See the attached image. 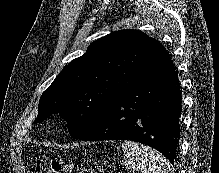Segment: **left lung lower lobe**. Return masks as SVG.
Returning a JSON list of instances; mask_svg holds the SVG:
<instances>
[{
	"mask_svg": "<svg viewBox=\"0 0 219 173\" xmlns=\"http://www.w3.org/2000/svg\"><path fill=\"white\" fill-rule=\"evenodd\" d=\"M181 91L172 60L161 45L138 80L79 139L133 140L149 145L174 164L180 137Z\"/></svg>",
	"mask_w": 219,
	"mask_h": 173,
	"instance_id": "1",
	"label": "left lung lower lobe"
}]
</instances>
